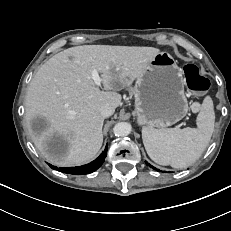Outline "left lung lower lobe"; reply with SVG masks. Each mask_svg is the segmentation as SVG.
Returning a JSON list of instances; mask_svg holds the SVG:
<instances>
[{
	"instance_id": "1",
	"label": "left lung lower lobe",
	"mask_w": 231,
	"mask_h": 231,
	"mask_svg": "<svg viewBox=\"0 0 231 231\" xmlns=\"http://www.w3.org/2000/svg\"><path fill=\"white\" fill-rule=\"evenodd\" d=\"M146 164H147L149 167L153 168L154 170L160 171V170H158L157 168H155V167H153L152 165H150L149 163L146 162Z\"/></svg>"
}]
</instances>
